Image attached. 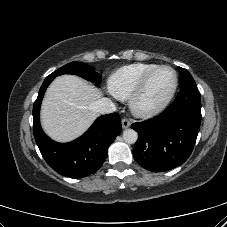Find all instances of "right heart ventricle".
<instances>
[{"instance_id":"right-heart-ventricle-1","label":"right heart ventricle","mask_w":227,"mask_h":227,"mask_svg":"<svg viewBox=\"0 0 227 227\" xmlns=\"http://www.w3.org/2000/svg\"><path fill=\"white\" fill-rule=\"evenodd\" d=\"M157 66L154 63H134L117 69L108 79L110 93L121 100L129 99L142 78Z\"/></svg>"}]
</instances>
